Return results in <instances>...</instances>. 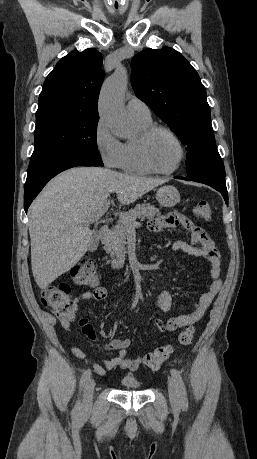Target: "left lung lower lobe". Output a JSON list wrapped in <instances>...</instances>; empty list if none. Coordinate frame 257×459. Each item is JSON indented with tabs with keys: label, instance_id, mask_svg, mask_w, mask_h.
<instances>
[{
	"label": "left lung lower lobe",
	"instance_id": "left-lung-lower-lobe-1",
	"mask_svg": "<svg viewBox=\"0 0 257 459\" xmlns=\"http://www.w3.org/2000/svg\"><path fill=\"white\" fill-rule=\"evenodd\" d=\"M175 178L183 179V180H192L195 182L207 184L213 187L214 189H216L217 191H219L224 197L226 204H228V194H227V189H226L225 178H218V177H208V178L175 177Z\"/></svg>",
	"mask_w": 257,
	"mask_h": 459
}]
</instances>
